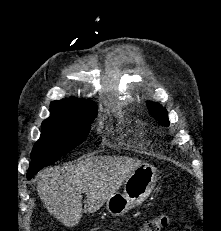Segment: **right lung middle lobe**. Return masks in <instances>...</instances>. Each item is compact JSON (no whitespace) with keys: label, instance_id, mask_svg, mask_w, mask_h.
Returning <instances> with one entry per match:
<instances>
[{"label":"right lung middle lobe","instance_id":"1","mask_svg":"<svg viewBox=\"0 0 221 231\" xmlns=\"http://www.w3.org/2000/svg\"><path fill=\"white\" fill-rule=\"evenodd\" d=\"M97 107L78 115H54L42 122L40 139L31 152L28 171H39L80 145L90 131Z\"/></svg>","mask_w":221,"mask_h":231}]
</instances>
